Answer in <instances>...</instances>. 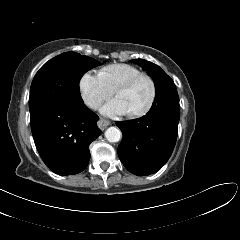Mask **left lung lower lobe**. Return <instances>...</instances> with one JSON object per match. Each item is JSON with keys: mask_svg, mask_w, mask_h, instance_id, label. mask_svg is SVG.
Returning <instances> with one entry per match:
<instances>
[{"mask_svg": "<svg viewBox=\"0 0 240 240\" xmlns=\"http://www.w3.org/2000/svg\"><path fill=\"white\" fill-rule=\"evenodd\" d=\"M179 118V106L161 105L139 119L116 122L123 133L118 156L129 172L145 176L165 165L176 143Z\"/></svg>", "mask_w": 240, "mask_h": 240, "instance_id": "obj_1", "label": "left lung lower lobe"}]
</instances>
